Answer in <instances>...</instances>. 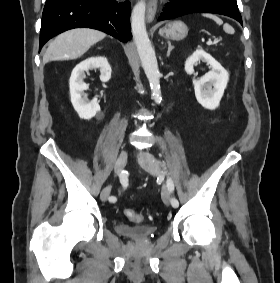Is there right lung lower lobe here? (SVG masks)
<instances>
[{"label": "right lung lower lobe", "instance_id": "1", "mask_svg": "<svg viewBox=\"0 0 280 283\" xmlns=\"http://www.w3.org/2000/svg\"><path fill=\"white\" fill-rule=\"evenodd\" d=\"M131 4L116 0H48L42 14L39 50L52 37L73 28H93L120 41L132 38Z\"/></svg>", "mask_w": 280, "mask_h": 283}]
</instances>
